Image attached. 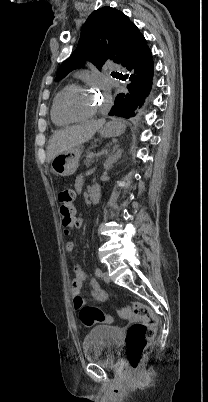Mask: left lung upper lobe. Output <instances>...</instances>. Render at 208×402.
I'll list each match as a JSON object with an SVG mask.
<instances>
[{"mask_svg": "<svg viewBox=\"0 0 208 402\" xmlns=\"http://www.w3.org/2000/svg\"><path fill=\"white\" fill-rule=\"evenodd\" d=\"M133 23L119 10L103 7L94 11L81 29L76 51L60 66L56 81L89 60L101 68L107 60L116 62Z\"/></svg>", "mask_w": 208, "mask_h": 402, "instance_id": "obj_1", "label": "left lung upper lobe"}]
</instances>
